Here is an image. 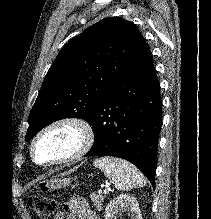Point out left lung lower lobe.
I'll list each match as a JSON object with an SVG mask.
<instances>
[{"mask_svg":"<svg viewBox=\"0 0 211 219\" xmlns=\"http://www.w3.org/2000/svg\"><path fill=\"white\" fill-rule=\"evenodd\" d=\"M161 117L160 85L146 44L99 102L89 122L94 145L85 156L125 159L155 188Z\"/></svg>","mask_w":211,"mask_h":219,"instance_id":"obj_1","label":"left lung lower lobe"}]
</instances>
